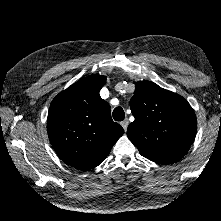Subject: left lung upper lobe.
Returning <instances> with one entry per match:
<instances>
[{"label":"left lung upper lobe","mask_w":221,"mask_h":221,"mask_svg":"<svg viewBox=\"0 0 221 221\" xmlns=\"http://www.w3.org/2000/svg\"><path fill=\"white\" fill-rule=\"evenodd\" d=\"M130 108L135 120L127 136L147 159L161 164L180 160L194 141L197 120L180 95L150 81L135 84Z\"/></svg>","instance_id":"5c2ea615"}]
</instances>
